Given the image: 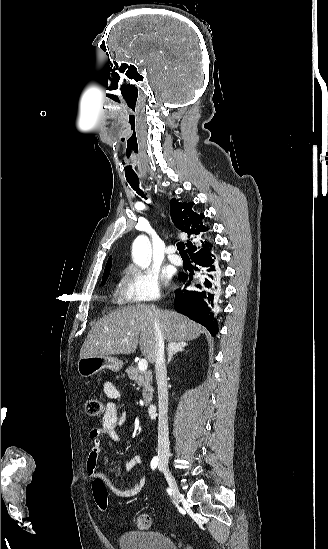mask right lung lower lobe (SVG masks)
I'll use <instances>...</instances> for the list:
<instances>
[{
  "instance_id": "obj_1",
  "label": "right lung lower lobe",
  "mask_w": 328,
  "mask_h": 549,
  "mask_svg": "<svg viewBox=\"0 0 328 549\" xmlns=\"http://www.w3.org/2000/svg\"><path fill=\"white\" fill-rule=\"evenodd\" d=\"M210 255V251H205L192 257V261L197 265L194 269L199 278H195L193 272L179 274L186 285L183 290H175V309L205 326L211 335L215 336L219 329L210 309L213 306L214 290L219 279L216 276L215 262ZM187 286L189 290L186 289Z\"/></svg>"
}]
</instances>
